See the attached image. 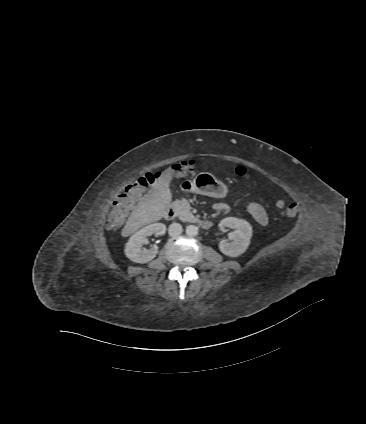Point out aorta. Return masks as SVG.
Wrapping results in <instances>:
<instances>
[{
  "instance_id": "762f6f07",
  "label": "aorta",
  "mask_w": 366,
  "mask_h": 424,
  "mask_svg": "<svg viewBox=\"0 0 366 424\" xmlns=\"http://www.w3.org/2000/svg\"><path fill=\"white\" fill-rule=\"evenodd\" d=\"M186 234L188 236H196L198 235V227L195 225H188L186 227Z\"/></svg>"
}]
</instances>
